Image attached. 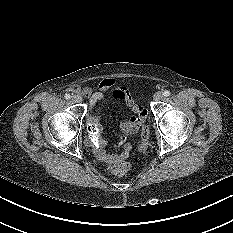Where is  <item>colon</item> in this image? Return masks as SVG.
<instances>
[{
  "mask_svg": "<svg viewBox=\"0 0 233 233\" xmlns=\"http://www.w3.org/2000/svg\"><path fill=\"white\" fill-rule=\"evenodd\" d=\"M85 133L88 135L86 141L89 145L94 146L98 143L99 138L95 134L97 131V127L94 123L89 122L84 127ZM141 138L144 144H147L149 140V129L147 126L142 127ZM110 171L115 175H123L127 173L130 169V166L126 163L119 166H109Z\"/></svg>",
  "mask_w": 233,
  "mask_h": 233,
  "instance_id": "colon-1",
  "label": "colon"
}]
</instances>
